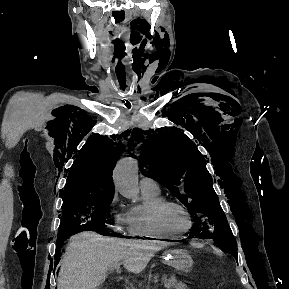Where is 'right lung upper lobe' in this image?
Masks as SVG:
<instances>
[{
    "instance_id": "obj_1",
    "label": "right lung upper lobe",
    "mask_w": 289,
    "mask_h": 289,
    "mask_svg": "<svg viewBox=\"0 0 289 289\" xmlns=\"http://www.w3.org/2000/svg\"><path fill=\"white\" fill-rule=\"evenodd\" d=\"M91 137L71 167L62 197L114 193L112 171L124 145L107 137Z\"/></svg>"
}]
</instances>
